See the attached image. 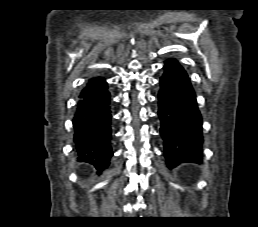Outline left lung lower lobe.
Segmentation results:
<instances>
[{"label":"left lung lower lobe","mask_w":258,"mask_h":227,"mask_svg":"<svg viewBox=\"0 0 258 227\" xmlns=\"http://www.w3.org/2000/svg\"><path fill=\"white\" fill-rule=\"evenodd\" d=\"M160 134L166 163L202 161V118L186 71L177 60L168 59L157 95Z\"/></svg>","instance_id":"left-lung-lower-lobe-1"}]
</instances>
